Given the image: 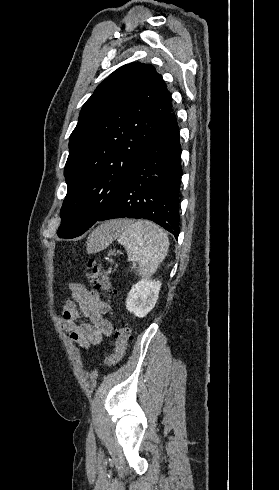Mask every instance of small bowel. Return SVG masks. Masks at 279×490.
I'll use <instances>...</instances> for the list:
<instances>
[{
	"instance_id": "1",
	"label": "small bowel",
	"mask_w": 279,
	"mask_h": 490,
	"mask_svg": "<svg viewBox=\"0 0 279 490\" xmlns=\"http://www.w3.org/2000/svg\"><path fill=\"white\" fill-rule=\"evenodd\" d=\"M72 298L64 301L62 316L59 319L61 329L79 346L87 349L98 345L104 336L112 334V324L105 318L110 304L103 300L95 290H88L78 283L70 284ZM82 315L88 323H78Z\"/></svg>"
}]
</instances>
